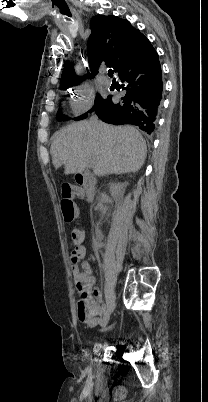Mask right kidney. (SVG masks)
Wrapping results in <instances>:
<instances>
[{
  "label": "right kidney",
  "instance_id": "ca27d5eb",
  "mask_svg": "<svg viewBox=\"0 0 208 402\" xmlns=\"http://www.w3.org/2000/svg\"><path fill=\"white\" fill-rule=\"evenodd\" d=\"M125 184H110V194L113 196L117 206L120 204V200L124 194Z\"/></svg>",
  "mask_w": 208,
  "mask_h": 402
}]
</instances>
